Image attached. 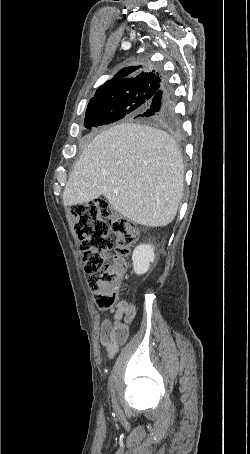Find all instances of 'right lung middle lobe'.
I'll list each match as a JSON object with an SVG mask.
<instances>
[{
    "mask_svg": "<svg viewBox=\"0 0 250 454\" xmlns=\"http://www.w3.org/2000/svg\"><path fill=\"white\" fill-rule=\"evenodd\" d=\"M161 88L147 84L133 88L120 98H103L88 104L84 126L88 129L110 124L124 117L164 124L155 117L142 114L149 108L153 97Z\"/></svg>",
    "mask_w": 250,
    "mask_h": 454,
    "instance_id": "obj_1",
    "label": "right lung middle lobe"
}]
</instances>
